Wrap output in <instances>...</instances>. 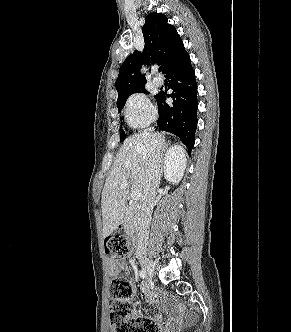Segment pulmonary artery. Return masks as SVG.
I'll list each match as a JSON object with an SVG mask.
<instances>
[{"label":"pulmonary artery","mask_w":291,"mask_h":332,"mask_svg":"<svg viewBox=\"0 0 291 332\" xmlns=\"http://www.w3.org/2000/svg\"><path fill=\"white\" fill-rule=\"evenodd\" d=\"M153 82L157 86H161L164 83L163 79L161 77H159V76L154 77Z\"/></svg>","instance_id":"pulmonary-artery-1"}]
</instances>
